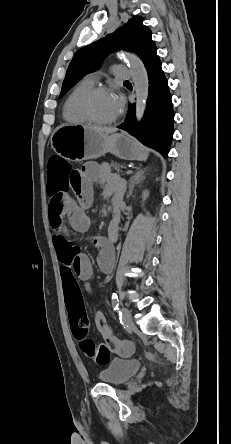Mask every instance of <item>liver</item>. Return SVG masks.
<instances>
[{
    "mask_svg": "<svg viewBox=\"0 0 231 444\" xmlns=\"http://www.w3.org/2000/svg\"><path fill=\"white\" fill-rule=\"evenodd\" d=\"M87 128L96 131L100 134L109 135L114 133L116 130L114 128H107V127H98V126H86Z\"/></svg>",
    "mask_w": 231,
    "mask_h": 444,
    "instance_id": "obj_1",
    "label": "liver"
}]
</instances>
